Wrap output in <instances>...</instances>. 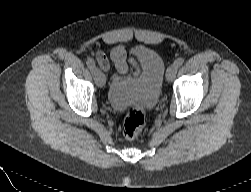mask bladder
Returning <instances> with one entry per match:
<instances>
[{
    "instance_id": "obj_1",
    "label": "bladder",
    "mask_w": 251,
    "mask_h": 192,
    "mask_svg": "<svg viewBox=\"0 0 251 192\" xmlns=\"http://www.w3.org/2000/svg\"><path fill=\"white\" fill-rule=\"evenodd\" d=\"M136 53L141 62L142 73L139 78L114 75L109 82L107 100L110 106L122 111L131 105L153 108L160 96L165 62L162 56L148 48H138Z\"/></svg>"
}]
</instances>
